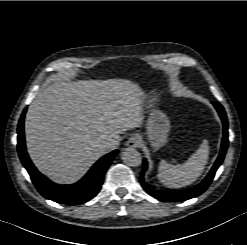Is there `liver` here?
<instances>
[{
  "label": "liver",
  "mask_w": 247,
  "mask_h": 245,
  "mask_svg": "<svg viewBox=\"0 0 247 245\" xmlns=\"http://www.w3.org/2000/svg\"><path fill=\"white\" fill-rule=\"evenodd\" d=\"M142 93L125 79H57L28 108V154L40 172L59 184L78 181L105 153L109 138L142 124Z\"/></svg>",
  "instance_id": "obj_1"
}]
</instances>
